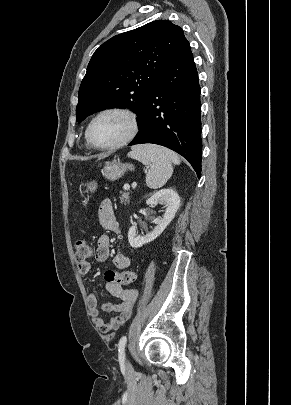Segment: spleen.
Here are the masks:
<instances>
[{
    "label": "spleen",
    "instance_id": "1",
    "mask_svg": "<svg viewBox=\"0 0 291 405\" xmlns=\"http://www.w3.org/2000/svg\"><path fill=\"white\" fill-rule=\"evenodd\" d=\"M128 156L149 167L146 184L152 189L160 188L167 182L173 173L172 164H180L176 153L153 144L135 146Z\"/></svg>",
    "mask_w": 291,
    "mask_h": 405
}]
</instances>
